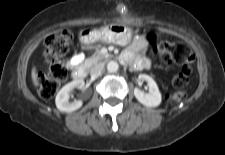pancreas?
<instances>
[{
    "mask_svg": "<svg viewBox=\"0 0 225 155\" xmlns=\"http://www.w3.org/2000/svg\"><path fill=\"white\" fill-rule=\"evenodd\" d=\"M106 57H107L106 55H103L100 53V51H97L92 55V57L86 60L85 65L87 67H91L92 65L96 64L97 62L103 60Z\"/></svg>",
    "mask_w": 225,
    "mask_h": 155,
    "instance_id": "pancreas-1",
    "label": "pancreas"
}]
</instances>
